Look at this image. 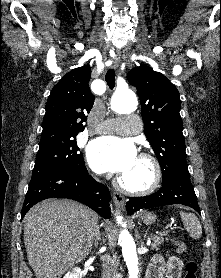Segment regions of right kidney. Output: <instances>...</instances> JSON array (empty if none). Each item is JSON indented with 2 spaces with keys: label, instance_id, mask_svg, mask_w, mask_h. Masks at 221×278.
<instances>
[{
  "label": "right kidney",
  "instance_id": "ca27d5eb",
  "mask_svg": "<svg viewBox=\"0 0 221 278\" xmlns=\"http://www.w3.org/2000/svg\"><path fill=\"white\" fill-rule=\"evenodd\" d=\"M63 278H81V269L79 267L72 268Z\"/></svg>",
  "mask_w": 221,
  "mask_h": 278
}]
</instances>
